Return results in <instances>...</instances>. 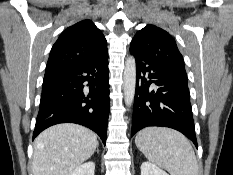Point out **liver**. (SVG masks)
I'll return each mask as SVG.
<instances>
[{
  "label": "liver",
  "instance_id": "obj_1",
  "mask_svg": "<svg viewBox=\"0 0 233 175\" xmlns=\"http://www.w3.org/2000/svg\"><path fill=\"white\" fill-rule=\"evenodd\" d=\"M97 146L96 134L86 127L54 125L35 139L33 175H69L93 155Z\"/></svg>",
  "mask_w": 233,
  "mask_h": 175
}]
</instances>
